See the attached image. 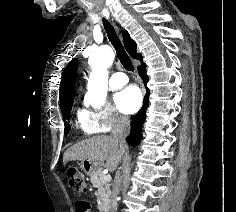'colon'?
Masks as SVG:
<instances>
[{"label": "colon", "instance_id": "1", "mask_svg": "<svg viewBox=\"0 0 236 212\" xmlns=\"http://www.w3.org/2000/svg\"><path fill=\"white\" fill-rule=\"evenodd\" d=\"M70 187L76 192L86 191L85 177L81 170L76 167H71L67 171ZM77 205V204H75Z\"/></svg>", "mask_w": 236, "mask_h": 212}]
</instances>
